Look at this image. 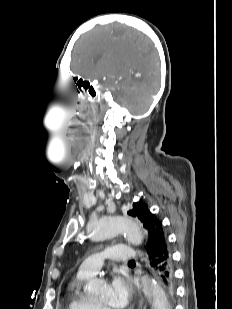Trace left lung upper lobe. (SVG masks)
<instances>
[{
    "label": "left lung upper lobe",
    "mask_w": 232,
    "mask_h": 309,
    "mask_svg": "<svg viewBox=\"0 0 232 309\" xmlns=\"http://www.w3.org/2000/svg\"><path fill=\"white\" fill-rule=\"evenodd\" d=\"M127 214L137 218L142 223L147 233L146 245L150 243L155 235L156 227L161 223V221L149 211L148 206L145 203H134L128 210ZM166 293L171 301L174 297V293L172 294L170 291H166Z\"/></svg>",
    "instance_id": "1"
}]
</instances>
